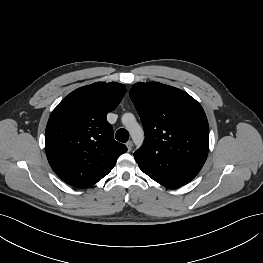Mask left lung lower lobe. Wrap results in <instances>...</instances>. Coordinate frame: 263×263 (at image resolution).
Returning <instances> with one entry per match:
<instances>
[{"label": "left lung lower lobe", "instance_id": "left-lung-lower-lobe-1", "mask_svg": "<svg viewBox=\"0 0 263 263\" xmlns=\"http://www.w3.org/2000/svg\"><path fill=\"white\" fill-rule=\"evenodd\" d=\"M137 163L142 172L159 184L169 188L183 186L198 174V172L172 162L162 163L158 166H146V164L140 161H137Z\"/></svg>", "mask_w": 263, "mask_h": 263}]
</instances>
